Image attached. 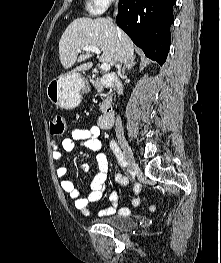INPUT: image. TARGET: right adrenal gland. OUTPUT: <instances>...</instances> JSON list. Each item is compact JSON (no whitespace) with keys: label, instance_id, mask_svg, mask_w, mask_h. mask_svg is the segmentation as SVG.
Segmentation results:
<instances>
[{"label":"right adrenal gland","instance_id":"1","mask_svg":"<svg viewBox=\"0 0 221 263\" xmlns=\"http://www.w3.org/2000/svg\"><path fill=\"white\" fill-rule=\"evenodd\" d=\"M135 64H136V62L134 60H131L129 62H125L124 66L122 68V73L124 74L127 70L133 69Z\"/></svg>","mask_w":221,"mask_h":263}]
</instances>
